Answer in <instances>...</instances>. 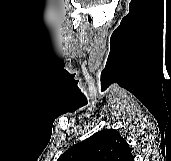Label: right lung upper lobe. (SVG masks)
Returning a JSON list of instances; mask_svg holds the SVG:
<instances>
[{
	"label": "right lung upper lobe",
	"mask_w": 171,
	"mask_h": 161,
	"mask_svg": "<svg viewBox=\"0 0 171 161\" xmlns=\"http://www.w3.org/2000/svg\"><path fill=\"white\" fill-rule=\"evenodd\" d=\"M57 161H134V156L117 130L103 129L68 149Z\"/></svg>",
	"instance_id": "obj_1"
}]
</instances>
